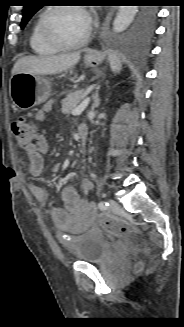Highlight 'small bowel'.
<instances>
[{"label":"small bowel","instance_id":"1","mask_svg":"<svg viewBox=\"0 0 184 327\" xmlns=\"http://www.w3.org/2000/svg\"><path fill=\"white\" fill-rule=\"evenodd\" d=\"M53 101L46 103L38 110L34 119L43 121L52 109ZM49 149L47 133L42 131L38 134L34 144L26 148V155L29 161V170L32 176L38 177L44 169V154ZM84 196H81L72 185L65 186L60 193L62 207L51 208L50 214L57 228L69 233H82L86 231L94 222L96 209L91 204L86 195L93 190V183L89 179H84L81 183ZM31 192L41 205H46L49 201L47 191L39 186L32 185Z\"/></svg>","mask_w":184,"mask_h":327}]
</instances>
